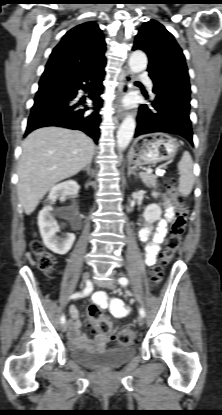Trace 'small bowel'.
<instances>
[{
  "mask_svg": "<svg viewBox=\"0 0 222 415\" xmlns=\"http://www.w3.org/2000/svg\"><path fill=\"white\" fill-rule=\"evenodd\" d=\"M163 205L165 208V217L160 220L157 230L153 233L149 226H143L139 232L141 241L145 246V261L148 265H152L157 258L159 252V245L163 242L166 232L167 223L174 219L175 211L174 204L170 198L163 196ZM93 301L101 308H108L110 314L114 318H125L130 314V308L127 307L122 300L118 298H110L103 291H98L93 294ZM71 315V345L74 347H82L85 349L103 350L107 345V336L105 334H98L95 340H88L82 333V324L79 320L78 310L75 306L70 308Z\"/></svg>",
  "mask_w": 222,
  "mask_h": 415,
  "instance_id": "obj_1",
  "label": "small bowel"
}]
</instances>
